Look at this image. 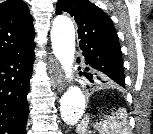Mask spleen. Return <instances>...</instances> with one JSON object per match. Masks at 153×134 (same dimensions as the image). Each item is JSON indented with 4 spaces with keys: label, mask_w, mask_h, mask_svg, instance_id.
<instances>
[{
    "label": "spleen",
    "mask_w": 153,
    "mask_h": 134,
    "mask_svg": "<svg viewBox=\"0 0 153 134\" xmlns=\"http://www.w3.org/2000/svg\"><path fill=\"white\" fill-rule=\"evenodd\" d=\"M128 115L125 108H119L116 112H112L110 115L104 117L102 121L96 123V128L100 134H131ZM89 118L86 116L78 125L77 134H85L87 131Z\"/></svg>",
    "instance_id": "obj_1"
}]
</instances>
